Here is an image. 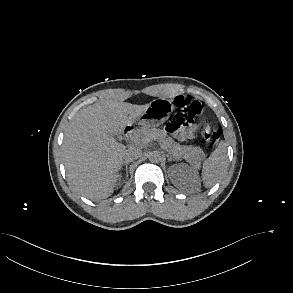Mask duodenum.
<instances>
[{"label":"duodenum","mask_w":293,"mask_h":293,"mask_svg":"<svg viewBox=\"0 0 293 293\" xmlns=\"http://www.w3.org/2000/svg\"><path fill=\"white\" fill-rule=\"evenodd\" d=\"M131 131H132V128H131V127H127V128H125V130H124V134H125V135H128L129 133H131Z\"/></svg>","instance_id":"410a0bca"}]
</instances>
